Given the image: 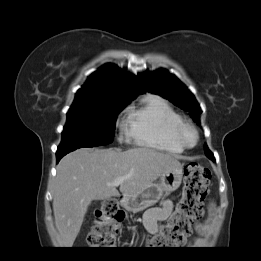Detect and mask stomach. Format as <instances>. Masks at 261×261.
Masks as SVG:
<instances>
[{
	"label": "stomach",
	"mask_w": 261,
	"mask_h": 261,
	"mask_svg": "<svg viewBox=\"0 0 261 261\" xmlns=\"http://www.w3.org/2000/svg\"><path fill=\"white\" fill-rule=\"evenodd\" d=\"M183 167H174L163 173L158 183H152L139 193L123 195L121 205L128 211L139 212L156 204L164 194L175 191L181 184Z\"/></svg>",
	"instance_id": "stomach-1"
}]
</instances>
